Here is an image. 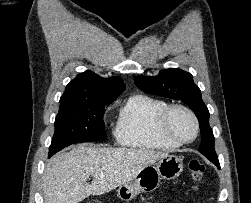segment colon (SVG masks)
<instances>
[{"mask_svg": "<svg viewBox=\"0 0 251 203\" xmlns=\"http://www.w3.org/2000/svg\"><path fill=\"white\" fill-rule=\"evenodd\" d=\"M189 169L193 181L196 183L201 181L205 172V165L199 160H191L189 162Z\"/></svg>", "mask_w": 251, "mask_h": 203, "instance_id": "obj_1", "label": "colon"}]
</instances>
